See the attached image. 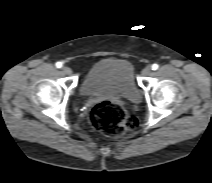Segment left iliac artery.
Wrapping results in <instances>:
<instances>
[{"label":"left iliac artery","instance_id":"obj_1","mask_svg":"<svg viewBox=\"0 0 212 183\" xmlns=\"http://www.w3.org/2000/svg\"><path fill=\"white\" fill-rule=\"evenodd\" d=\"M159 68V65L158 64H153L152 65V70H157Z\"/></svg>","mask_w":212,"mask_h":183}]
</instances>
